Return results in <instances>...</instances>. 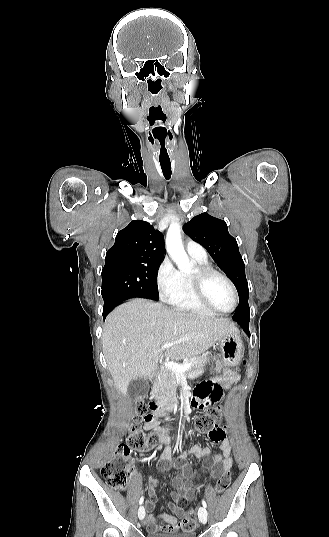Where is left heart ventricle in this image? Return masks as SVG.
I'll use <instances>...</instances> for the list:
<instances>
[{
	"instance_id": "1",
	"label": "left heart ventricle",
	"mask_w": 329,
	"mask_h": 537,
	"mask_svg": "<svg viewBox=\"0 0 329 537\" xmlns=\"http://www.w3.org/2000/svg\"><path fill=\"white\" fill-rule=\"evenodd\" d=\"M205 292L211 304L221 311H229L234 302L228 284L219 277H210L205 283Z\"/></svg>"
}]
</instances>
